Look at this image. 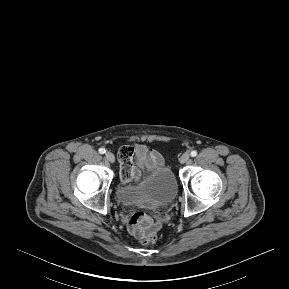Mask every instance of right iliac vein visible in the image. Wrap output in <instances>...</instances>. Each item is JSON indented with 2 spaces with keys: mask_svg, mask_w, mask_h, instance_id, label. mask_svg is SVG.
<instances>
[{
  "mask_svg": "<svg viewBox=\"0 0 289 289\" xmlns=\"http://www.w3.org/2000/svg\"><path fill=\"white\" fill-rule=\"evenodd\" d=\"M105 156H106V159H107L109 162L114 163V161H115V156L113 155V153H111V152L108 151Z\"/></svg>",
  "mask_w": 289,
  "mask_h": 289,
  "instance_id": "63e3f726",
  "label": "right iliac vein"
}]
</instances>
